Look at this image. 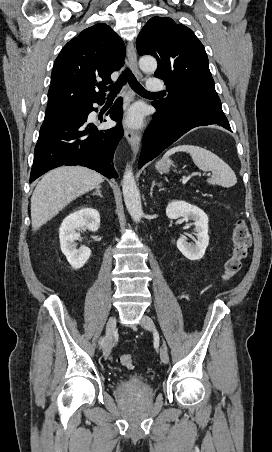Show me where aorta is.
I'll use <instances>...</instances> for the list:
<instances>
[{"instance_id": "obj_1", "label": "aorta", "mask_w": 272, "mask_h": 452, "mask_svg": "<svg viewBox=\"0 0 272 452\" xmlns=\"http://www.w3.org/2000/svg\"><path fill=\"white\" fill-rule=\"evenodd\" d=\"M139 66L144 72H154L157 69V61L151 56H144L140 58ZM122 191L124 202L131 218L136 223L140 222L143 216L141 198L130 165L126 166L123 175Z\"/></svg>"}]
</instances>
